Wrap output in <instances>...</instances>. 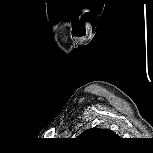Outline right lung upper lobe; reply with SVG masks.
Returning a JSON list of instances; mask_svg holds the SVG:
<instances>
[{
	"label": "right lung upper lobe",
	"instance_id": "right-lung-upper-lobe-1",
	"mask_svg": "<svg viewBox=\"0 0 153 153\" xmlns=\"http://www.w3.org/2000/svg\"><path fill=\"white\" fill-rule=\"evenodd\" d=\"M116 134L108 129L91 128L82 132L78 138L81 140H100L106 138H116Z\"/></svg>",
	"mask_w": 153,
	"mask_h": 153
}]
</instances>
